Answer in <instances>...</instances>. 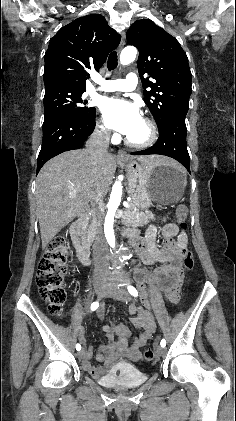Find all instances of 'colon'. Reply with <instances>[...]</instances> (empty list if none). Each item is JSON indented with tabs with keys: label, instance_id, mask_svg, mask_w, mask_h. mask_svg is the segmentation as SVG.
I'll list each match as a JSON object with an SVG mask.
<instances>
[{
	"label": "colon",
	"instance_id": "1",
	"mask_svg": "<svg viewBox=\"0 0 236 421\" xmlns=\"http://www.w3.org/2000/svg\"><path fill=\"white\" fill-rule=\"evenodd\" d=\"M187 207L183 204L176 209V216L180 227L186 229ZM183 255V268L189 271L193 268L194 257L190 250L185 249ZM68 242L64 234L56 236L47 246L37 271V285L42 299L48 305V311L54 316H61L67 297L65 277L67 274ZM154 351L147 349L143 357L147 361L154 358Z\"/></svg>",
	"mask_w": 236,
	"mask_h": 421
}]
</instances>
